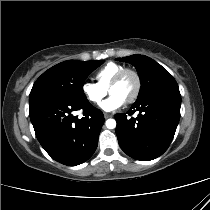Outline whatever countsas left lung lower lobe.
I'll return each instance as SVG.
<instances>
[{"label":"left lung lower lobe","instance_id":"left-lung-lower-lobe-1","mask_svg":"<svg viewBox=\"0 0 210 210\" xmlns=\"http://www.w3.org/2000/svg\"><path fill=\"white\" fill-rule=\"evenodd\" d=\"M180 106L179 89H168L136 101L127 113L116 114V135L121 149L141 161L162 155L174 137ZM135 112L138 116L130 117Z\"/></svg>","mask_w":210,"mask_h":210}]
</instances>
